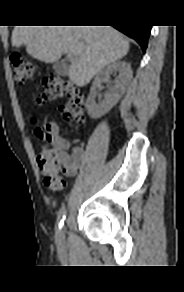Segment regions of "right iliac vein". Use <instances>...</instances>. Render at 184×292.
Listing matches in <instances>:
<instances>
[{
	"label": "right iliac vein",
	"mask_w": 184,
	"mask_h": 292,
	"mask_svg": "<svg viewBox=\"0 0 184 292\" xmlns=\"http://www.w3.org/2000/svg\"><path fill=\"white\" fill-rule=\"evenodd\" d=\"M64 239V231H61L59 234H58V240L59 241H62Z\"/></svg>",
	"instance_id": "1"
}]
</instances>
